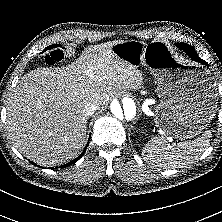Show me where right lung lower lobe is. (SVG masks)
I'll return each mask as SVG.
<instances>
[{
	"label": "right lung lower lobe",
	"instance_id": "98d812e1",
	"mask_svg": "<svg viewBox=\"0 0 222 222\" xmlns=\"http://www.w3.org/2000/svg\"><path fill=\"white\" fill-rule=\"evenodd\" d=\"M89 139H90V137H89ZM88 144H89V142H87V145H86L85 149L83 150L82 154H81L78 158H76L75 160H73V161H71L70 163H67V164H65V165H63V166H64V167H65V166H69V165H71V164H74L76 161H78V160L84 155V153H85V151H86V149H87ZM31 163L34 164V165H36V164L33 163V162H31Z\"/></svg>",
	"mask_w": 222,
	"mask_h": 222
}]
</instances>
